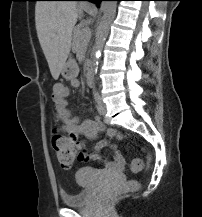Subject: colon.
<instances>
[{
	"instance_id": "5ec220e1",
	"label": "colon",
	"mask_w": 202,
	"mask_h": 217,
	"mask_svg": "<svg viewBox=\"0 0 202 217\" xmlns=\"http://www.w3.org/2000/svg\"><path fill=\"white\" fill-rule=\"evenodd\" d=\"M51 146L58 162L64 168L72 167L76 160H81L85 156V150L80 149L70 137L58 132H53L51 136ZM130 169L134 173L142 171L143 161L140 158H134L131 161ZM127 187L136 190L138 183L131 181ZM113 199L114 195H110L107 197L106 201L111 202Z\"/></svg>"
}]
</instances>
